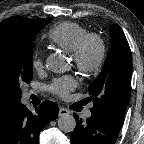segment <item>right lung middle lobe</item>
Listing matches in <instances>:
<instances>
[{
	"label": "right lung middle lobe",
	"mask_w": 144,
	"mask_h": 144,
	"mask_svg": "<svg viewBox=\"0 0 144 144\" xmlns=\"http://www.w3.org/2000/svg\"><path fill=\"white\" fill-rule=\"evenodd\" d=\"M50 18L35 24H18L0 38V81L17 102L21 99V86L30 83L32 73L33 41Z\"/></svg>",
	"instance_id": "1"
}]
</instances>
